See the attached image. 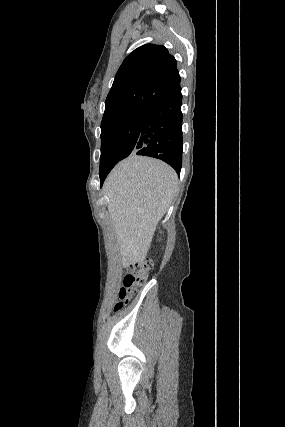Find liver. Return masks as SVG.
Segmentation results:
<instances>
[{"mask_svg": "<svg viewBox=\"0 0 285 427\" xmlns=\"http://www.w3.org/2000/svg\"><path fill=\"white\" fill-rule=\"evenodd\" d=\"M177 184L178 176L168 164L136 154L119 162L108 175L103 190L123 267L144 261Z\"/></svg>", "mask_w": 285, "mask_h": 427, "instance_id": "obj_1", "label": "liver"}]
</instances>
